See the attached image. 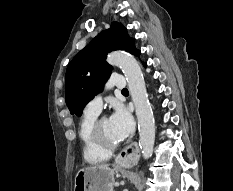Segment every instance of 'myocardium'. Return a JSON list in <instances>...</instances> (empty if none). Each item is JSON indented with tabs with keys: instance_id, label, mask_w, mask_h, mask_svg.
I'll return each instance as SVG.
<instances>
[{
	"instance_id": "f54148a6",
	"label": "myocardium",
	"mask_w": 233,
	"mask_h": 191,
	"mask_svg": "<svg viewBox=\"0 0 233 191\" xmlns=\"http://www.w3.org/2000/svg\"><path fill=\"white\" fill-rule=\"evenodd\" d=\"M104 119H106V118L100 117V118H97L95 120L93 127H92V137H93V140L95 141V143L100 148H102L103 150L111 152L118 147L119 142H111V141L107 140L105 138V136L103 135L102 130H101V123Z\"/></svg>"
}]
</instances>
